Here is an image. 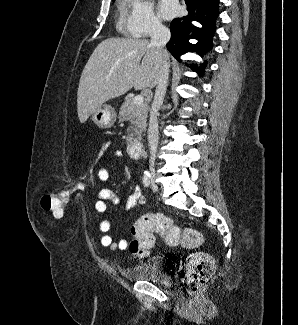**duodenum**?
I'll list each match as a JSON object with an SVG mask.
<instances>
[{
    "label": "duodenum",
    "mask_w": 298,
    "mask_h": 325,
    "mask_svg": "<svg viewBox=\"0 0 298 325\" xmlns=\"http://www.w3.org/2000/svg\"><path fill=\"white\" fill-rule=\"evenodd\" d=\"M144 149V145L141 141H132L128 145L129 154L133 158H138L142 155Z\"/></svg>",
    "instance_id": "duodenum-1"
}]
</instances>
